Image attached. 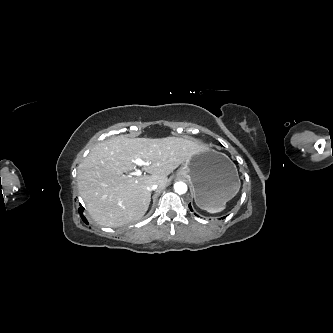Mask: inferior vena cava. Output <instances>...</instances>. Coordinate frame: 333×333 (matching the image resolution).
I'll use <instances>...</instances> for the list:
<instances>
[{
    "label": "inferior vena cava",
    "instance_id": "602c4592",
    "mask_svg": "<svg viewBox=\"0 0 333 333\" xmlns=\"http://www.w3.org/2000/svg\"><path fill=\"white\" fill-rule=\"evenodd\" d=\"M157 188H158V185H157L156 183H154V184H152V185H150V186L147 187V189H148L149 191H154V190H156Z\"/></svg>",
    "mask_w": 333,
    "mask_h": 333
}]
</instances>
